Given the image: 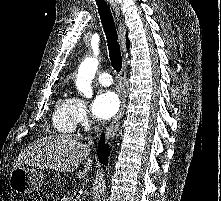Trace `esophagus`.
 <instances>
[{
	"label": "esophagus",
	"instance_id": "obj_1",
	"mask_svg": "<svg viewBox=\"0 0 221 201\" xmlns=\"http://www.w3.org/2000/svg\"><path fill=\"white\" fill-rule=\"evenodd\" d=\"M109 1H110L112 8L115 11L117 19H119L120 12H119L118 6L116 5V3L113 2V0H109ZM119 34H120V42H121L122 48L125 51V39H124L125 27L123 26L121 22L119 23ZM126 77H127V68H126V61H125L121 70V82H120V90H119L120 99H121V107H120L118 114L116 115V117L114 118V120L112 121V123L110 124L109 128L106 131L107 139L112 138L117 133L119 129L120 121L124 115L125 105H126V97H125Z\"/></svg>",
	"mask_w": 221,
	"mask_h": 201
}]
</instances>
